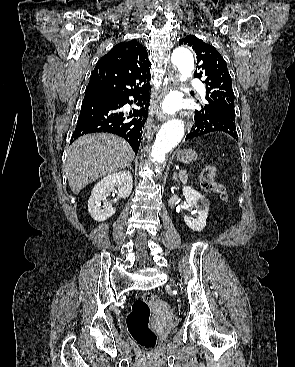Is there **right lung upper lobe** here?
Masks as SVG:
<instances>
[{
  "instance_id": "cb5924a9",
  "label": "right lung upper lobe",
  "mask_w": 295,
  "mask_h": 367,
  "mask_svg": "<svg viewBox=\"0 0 295 367\" xmlns=\"http://www.w3.org/2000/svg\"><path fill=\"white\" fill-rule=\"evenodd\" d=\"M151 63L146 48L136 40L121 42L97 63L87 89L124 94L149 88Z\"/></svg>"
}]
</instances>
